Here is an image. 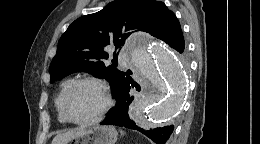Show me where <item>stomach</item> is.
<instances>
[{
  "instance_id": "0dacf381",
  "label": "stomach",
  "mask_w": 260,
  "mask_h": 144,
  "mask_svg": "<svg viewBox=\"0 0 260 144\" xmlns=\"http://www.w3.org/2000/svg\"><path fill=\"white\" fill-rule=\"evenodd\" d=\"M118 133L113 126H93L69 141V144H115Z\"/></svg>"
}]
</instances>
